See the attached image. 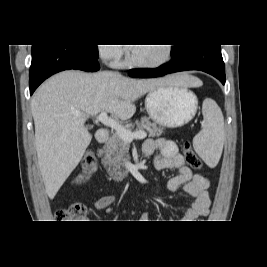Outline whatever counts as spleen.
<instances>
[{"label":"spleen","mask_w":267,"mask_h":267,"mask_svg":"<svg viewBox=\"0 0 267 267\" xmlns=\"http://www.w3.org/2000/svg\"><path fill=\"white\" fill-rule=\"evenodd\" d=\"M202 130L194 137L193 146L197 154L210 167H215L223 150L224 118L220 108L205 107Z\"/></svg>","instance_id":"spleen-1"}]
</instances>
